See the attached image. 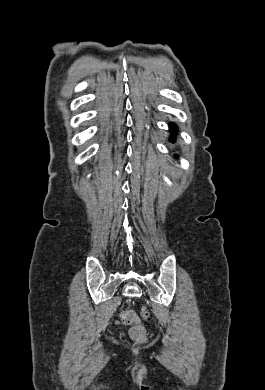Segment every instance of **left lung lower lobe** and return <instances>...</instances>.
<instances>
[{
    "label": "left lung lower lobe",
    "instance_id": "1",
    "mask_svg": "<svg viewBox=\"0 0 265 390\" xmlns=\"http://www.w3.org/2000/svg\"><path fill=\"white\" fill-rule=\"evenodd\" d=\"M177 126L175 124H170V131L172 132V134H176L177 133ZM171 141H175L174 138H171Z\"/></svg>",
    "mask_w": 265,
    "mask_h": 390
}]
</instances>
